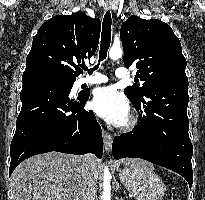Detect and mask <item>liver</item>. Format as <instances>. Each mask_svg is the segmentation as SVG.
<instances>
[{"label": "liver", "mask_w": 205, "mask_h": 200, "mask_svg": "<svg viewBox=\"0 0 205 200\" xmlns=\"http://www.w3.org/2000/svg\"><path fill=\"white\" fill-rule=\"evenodd\" d=\"M125 165L143 163L125 158ZM82 156L49 152L21 162L11 175L14 200H82L80 167ZM98 178L99 163L95 161Z\"/></svg>", "instance_id": "obj_1"}]
</instances>
